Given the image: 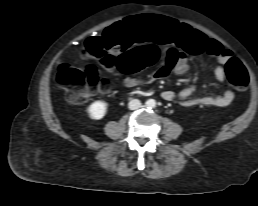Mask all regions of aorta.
<instances>
[{
    "mask_svg": "<svg viewBox=\"0 0 258 206\" xmlns=\"http://www.w3.org/2000/svg\"><path fill=\"white\" fill-rule=\"evenodd\" d=\"M146 104L148 107L153 108V107H155L156 102H155V100L151 99V100L147 101Z\"/></svg>",
    "mask_w": 258,
    "mask_h": 206,
    "instance_id": "1",
    "label": "aorta"
}]
</instances>
